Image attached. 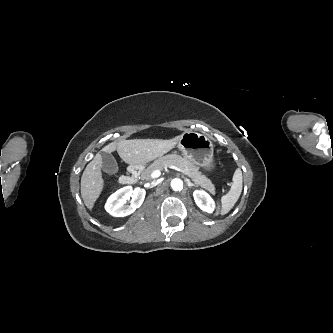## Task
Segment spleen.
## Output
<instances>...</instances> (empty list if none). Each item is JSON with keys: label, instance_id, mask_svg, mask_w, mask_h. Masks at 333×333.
<instances>
[{"label": "spleen", "instance_id": "obj_1", "mask_svg": "<svg viewBox=\"0 0 333 333\" xmlns=\"http://www.w3.org/2000/svg\"><path fill=\"white\" fill-rule=\"evenodd\" d=\"M242 192V172L237 168L229 192L221 197V215L227 214L236 204Z\"/></svg>", "mask_w": 333, "mask_h": 333}]
</instances>
